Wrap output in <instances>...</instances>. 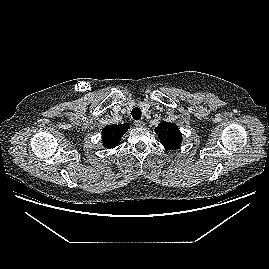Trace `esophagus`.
Here are the masks:
<instances>
[{"label": "esophagus", "instance_id": "1", "mask_svg": "<svg viewBox=\"0 0 269 269\" xmlns=\"http://www.w3.org/2000/svg\"><path fill=\"white\" fill-rule=\"evenodd\" d=\"M136 127H144L145 123L142 120H137L134 122Z\"/></svg>", "mask_w": 269, "mask_h": 269}]
</instances>
